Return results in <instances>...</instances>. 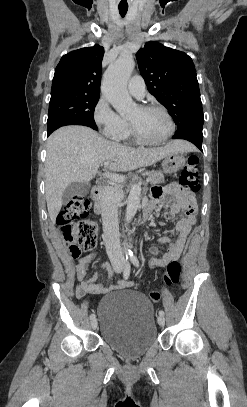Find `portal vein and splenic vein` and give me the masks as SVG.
<instances>
[{
	"instance_id": "obj_1",
	"label": "portal vein and splenic vein",
	"mask_w": 247,
	"mask_h": 407,
	"mask_svg": "<svg viewBox=\"0 0 247 407\" xmlns=\"http://www.w3.org/2000/svg\"><path fill=\"white\" fill-rule=\"evenodd\" d=\"M109 165H110V161H105V162H104V167H105V168L109 167ZM104 175H105L108 179H110V180H112V181H114V182H117V183H121V182H123L124 179H125L124 176H122V175L114 174V173H110V172H105ZM146 181H147V182L150 181V178L148 177V178L146 179Z\"/></svg>"
}]
</instances>
